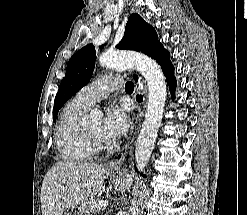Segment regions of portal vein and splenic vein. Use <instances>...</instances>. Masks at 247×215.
Returning <instances> with one entry per match:
<instances>
[{"label": "portal vein and splenic vein", "instance_id": "1", "mask_svg": "<svg viewBox=\"0 0 247 215\" xmlns=\"http://www.w3.org/2000/svg\"><path fill=\"white\" fill-rule=\"evenodd\" d=\"M107 205H108V202L102 201V202L99 204V206H98V210H102V208L105 207V206H107Z\"/></svg>", "mask_w": 247, "mask_h": 215}]
</instances>
